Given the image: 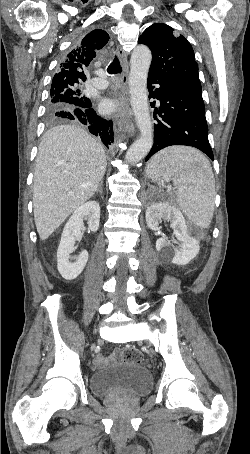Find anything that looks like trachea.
<instances>
[{"mask_svg":"<svg viewBox=\"0 0 250 454\" xmlns=\"http://www.w3.org/2000/svg\"><path fill=\"white\" fill-rule=\"evenodd\" d=\"M107 72L109 74H117L122 72L120 61L116 56L111 62V64L108 66Z\"/></svg>","mask_w":250,"mask_h":454,"instance_id":"1","label":"trachea"}]
</instances>
